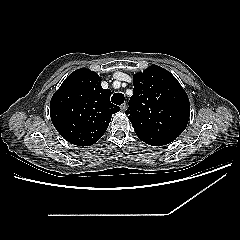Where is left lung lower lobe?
I'll return each instance as SVG.
<instances>
[{
    "instance_id": "1",
    "label": "left lung lower lobe",
    "mask_w": 240,
    "mask_h": 240,
    "mask_svg": "<svg viewBox=\"0 0 240 240\" xmlns=\"http://www.w3.org/2000/svg\"><path fill=\"white\" fill-rule=\"evenodd\" d=\"M170 142H172V140L156 138V139H150L148 142H145V143L153 146H161V145H166Z\"/></svg>"
}]
</instances>
